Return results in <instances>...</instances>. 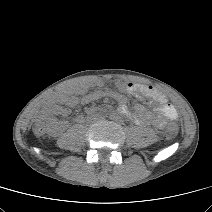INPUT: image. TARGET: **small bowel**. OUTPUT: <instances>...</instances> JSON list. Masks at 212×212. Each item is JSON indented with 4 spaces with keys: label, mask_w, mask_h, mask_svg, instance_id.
Segmentation results:
<instances>
[{
    "label": "small bowel",
    "mask_w": 212,
    "mask_h": 212,
    "mask_svg": "<svg viewBox=\"0 0 212 212\" xmlns=\"http://www.w3.org/2000/svg\"><path fill=\"white\" fill-rule=\"evenodd\" d=\"M104 83L101 80H94L90 83H81L70 89H63L57 92L47 105V112L56 116L66 117L70 108L78 104H89L94 101L111 98L118 103V111L128 117H132L139 125L152 124L156 128H163L167 122L175 121L178 113L173 105L168 103L167 97L160 90L153 86L142 85L137 83H117L115 89H104ZM92 87L93 91L87 92ZM125 93L130 95H141L147 97L159 104L157 117H153L143 107H137L134 113H131L127 106ZM81 96V97H79ZM79 123L82 121L81 116L74 119ZM67 121L59 120L52 122V134L58 135L67 127Z\"/></svg>",
    "instance_id": "obj_1"
}]
</instances>
